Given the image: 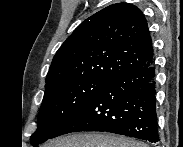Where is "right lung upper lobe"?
Segmentation results:
<instances>
[{
  "instance_id": "cb5924a9",
  "label": "right lung upper lobe",
  "mask_w": 183,
  "mask_h": 147,
  "mask_svg": "<svg viewBox=\"0 0 183 147\" xmlns=\"http://www.w3.org/2000/svg\"><path fill=\"white\" fill-rule=\"evenodd\" d=\"M153 64L147 21L134 5H110L83 21L53 58L46 86L81 79L111 81Z\"/></svg>"
}]
</instances>
